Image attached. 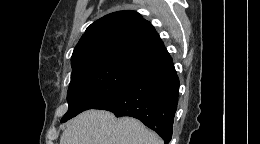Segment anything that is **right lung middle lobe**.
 I'll return each instance as SVG.
<instances>
[{
    "label": "right lung middle lobe",
    "instance_id": "right-lung-middle-lobe-1",
    "mask_svg": "<svg viewBox=\"0 0 260 144\" xmlns=\"http://www.w3.org/2000/svg\"><path fill=\"white\" fill-rule=\"evenodd\" d=\"M136 70L97 65L71 74L68 88V111L61 119L65 122L79 113L94 108L118 91Z\"/></svg>",
    "mask_w": 260,
    "mask_h": 144
}]
</instances>
